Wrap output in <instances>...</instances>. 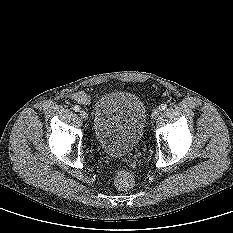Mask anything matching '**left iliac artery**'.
<instances>
[{
    "mask_svg": "<svg viewBox=\"0 0 233 233\" xmlns=\"http://www.w3.org/2000/svg\"><path fill=\"white\" fill-rule=\"evenodd\" d=\"M159 109H160V110H166V109H167V105H166V104H161V105L159 106Z\"/></svg>",
    "mask_w": 233,
    "mask_h": 233,
    "instance_id": "1",
    "label": "left iliac artery"
}]
</instances>
